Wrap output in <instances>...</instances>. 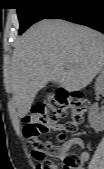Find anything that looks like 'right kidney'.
Instances as JSON below:
<instances>
[{
	"label": "right kidney",
	"mask_w": 104,
	"mask_h": 169,
	"mask_svg": "<svg viewBox=\"0 0 104 169\" xmlns=\"http://www.w3.org/2000/svg\"><path fill=\"white\" fill-rule=\"evenodd\" d=\"M104 89V72L102 71L95 82L96 94H100ZM89 122L91 127L99 132L104 129V114L98 112V107L93 105L89 112Z\"/></svg>",
	"instance_id": "obj_1"
}]
</instances>
